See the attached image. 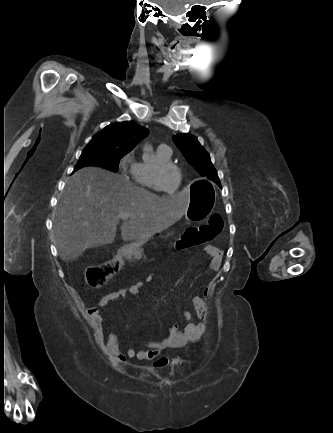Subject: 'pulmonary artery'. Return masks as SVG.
<instances>
[{
  "instance_id": "e3ab8cb5",
  "label": "pulmonary artery",
  "mask_w": 333,
  "mask_h": 433,
  "mask_svg": "<svg viewBox=\"0 0 333 433\" xmlns=\"http://www.w3.org/2000/svg\"><path fill=\"white\" fill-rule=\"evenodd\" d=\"M158 149L160 151H163V152L171 155V148L168 145L161 144V145L158 146Z\"/></svg>"
}]
</instances>
